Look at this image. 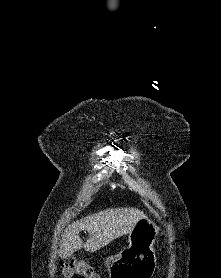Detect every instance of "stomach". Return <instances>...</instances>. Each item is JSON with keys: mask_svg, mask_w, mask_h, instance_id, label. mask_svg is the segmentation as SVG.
I'll use <instances>...</instances> for the list:
<instances>
[{"mask_svg": "<svg viewBox=\"0 0 221 278\" xmlns=\"http://www.w3.org/2000/svg\"><path fill=\"white\" fill-rule=\"evenodd\" d=\"M158 234L155 223L144 217L129 233V247L114 259H107L110 278H150L156 271L154 243Z\"/></svg>", "mask_w": 221, "mask_h": 278, "instance_id": "obj_1", "label": "stomach"}]
</instances>
